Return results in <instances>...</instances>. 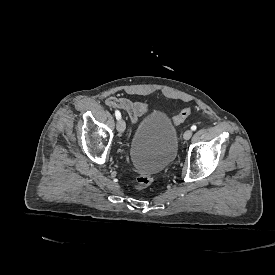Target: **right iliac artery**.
Instances as JSON below:
<instances>
[{"instance_id":"right-iliac-artery-1","label":"right iliac artery","mask_w":275,"mask_h":275,"mask_svg":"<svg viewBox=\"0 0 275 275\" xmlns=\"http://www.w3.org/2000/svg\"><path fill=\"white\" fill-rule=\"evenodd\" d=\"M115 116H116L117 120L121 119V114H120V112L118 110L115 111Z\"/></svg>"}]
</instances>
